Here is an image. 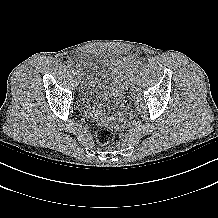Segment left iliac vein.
Instances as JSON below:
<instances>
[{"instance_id": "left-iliac-vein-1", "label": "left iliac vein", "mask_w": 218, "mask_h": 218, "mask_svg": "<svg viewBox=\"0 0 218 218\" xmlns=\"http://www.w3.org/2000/svg\"><path fill=\"white\" fill-rule=\"evenodd\" d=\"M133 75L136 77L138 74L135 72ZM130 79V83H128V91H133V85H135V78L132 76Z\"/></svg>"}]
</instances>
